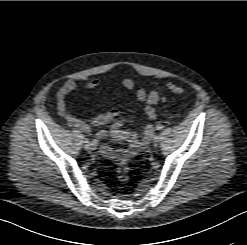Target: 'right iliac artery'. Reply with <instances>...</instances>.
Returning a JSON list of instances; mask_svg holds the SVG:
<instances>
[{"mask_svg": "<svg viewBox=\"0 0 247 245\" xmlns=\"http://www.w3.org/2000/svg\"><path fill=\"white\" fill-rule=\"evenodd\" d=\"M89 146L92 148V149H95L97 146H98V141L97 140H93Z\"/></svg>", "mask_w": 247, "mask_h": 245, "instance_id": "obj_1", "label": "right iliac artery"}]
</instances>
